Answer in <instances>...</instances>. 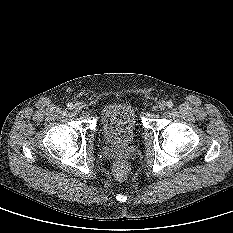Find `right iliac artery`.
Here are the masks:
<instances>
[{
	"label": "right iliac artery",
	"instance_id": "right-iliac-artery-1",
	"mask_svg": "<svg viewBox=\"0 0 233 233\" xmlns=\"http://www.w3.org/2000/svg\"><path fill=\"white\" fill-rule=\"evenodd\" d=\"M73 107H74V105H73L72 103H68V104H67V108H68V109L71 110V109H73Z\"/></svg>",
	"mask_w": 233,
	"mask_h": 233
}]
</instances>
